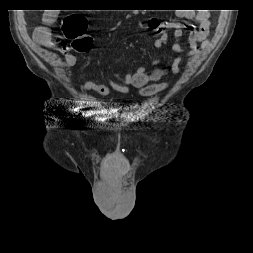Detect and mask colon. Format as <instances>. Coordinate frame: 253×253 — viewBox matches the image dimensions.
<instances>
[{
  "mask_svg": "<svg viewBox=\"0 0 253 253\" xmlns=\"http://www.w3.org/2000/svg\"><path fill=\"white\" fill-rule=\"evenodd\" d=\"M86 30L87 19L82 15H70L63 21V36L71 41L70 48L74 51L86 52L91 49L92 39Z\"/></svg>",
  "mask_w": 253,
  "mask_h": 253,
  "instance_id": "colon-1",
  "label": "colon"
}]
</instances>
